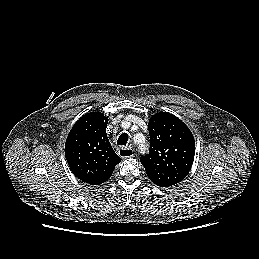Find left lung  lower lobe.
I'll list each match as a JSON object with an SVG mask.
<instances>
[{
	"label": "left lung lower lobe",
	"mask_w": 259,
	"mask_h": 259,
	"mask_svg": "<svg viewBox=\"0 0 259 259\" xmlns=\"http://www.w3.org/2000/svg\"><path fill=\"white\" fill-rule=\"evenodd\" d=\"M149 179L157 186L169 187L181 182L183 179L176 174L165 173L162 175H148Z\"/></svg>",
	"instance_id": "left-lung-lower-lobe-1"
}]
</instances>
